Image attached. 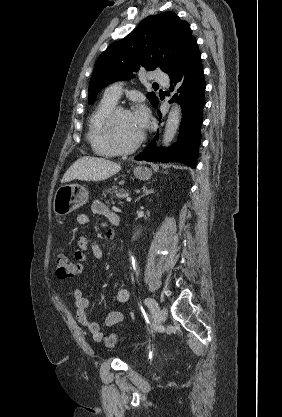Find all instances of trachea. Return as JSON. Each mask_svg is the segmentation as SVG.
Segmentation results:
<instances>
[{"mask_svg": "<svg viewBox=\"0 0 282 417\" xmlns=\"http://www.w3.org/2000/svg\"><path fill=\"white\" fill-rule=\"evenodd\" d=\"M153 86H158V84H153Z\"/></svg>", "mask_w": 282, "mask_h": 417, "instance_id": "trachea-1", "label": "trachea"}]
</instances>
